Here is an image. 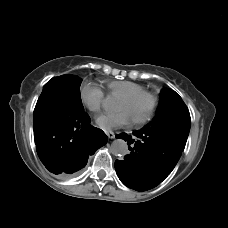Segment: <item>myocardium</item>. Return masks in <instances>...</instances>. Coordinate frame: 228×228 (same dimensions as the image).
I'll return each instance as SVG.
<instances>
[{
    "mask_svg": "<svg viewBox=\"0 0 228 228\" xmlns=\"http://www.w3.org/2000/svg\"><path fill=\"white\" fill-rule=\"evenodd\" d=\"M142 101H147V106L142 112H138L137 108ZM155 107V98L149 93L143 92L139 95L130 97L123 104L125 112L135 121L143 122L152 114Z\"/></svg>",
    "mask_w": 228,
    "mask_h": 228,
    "instance_id": "f54148a6",
    "label": "myocardium"
}]
</instances>
